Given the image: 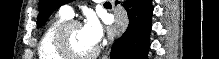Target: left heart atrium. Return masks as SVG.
Wrapping results in <instances>:
<instances>
[{
    "label": "left heart atrium",
    "mask_w": 219,
    "mask_h": 59,
    "mask_svg": "<svg viewBox=\"0 0 219 59\" xmlns=\"http://www.w3.org/2000/svg\"><path fill=\"white\" fill-rule=\"evenodd\" d=\"M82 31L91 44L96 46L102 37V27L93 17L88 18L82 26Z\"/></svg>",
    "instance_id": "1"
}]
</instances>
